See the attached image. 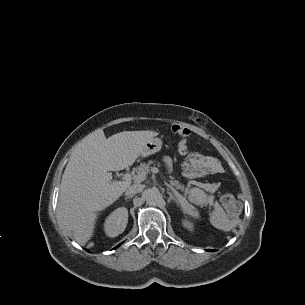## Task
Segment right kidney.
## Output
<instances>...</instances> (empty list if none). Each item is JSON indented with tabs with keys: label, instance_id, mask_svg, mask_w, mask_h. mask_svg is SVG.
I'll return each mask as SVG.
<instances>
[{
	"label": "right kidney",
	"instance_id": "right-kidney-1",
	"mask_svg": "<svg viewBox=\"0 0 305 305\" xmlns=\"http://www.w3.org/2000/svg\"><path fill=\"white\" fill-rule=\"evenodd\" d=\"M128 223V210L125 207L117 208L105 220L104 231L109 237L121 234Z\"/></svg>",
	"mask_w": 305,
	"mask_h": 305
}]
</instances>
